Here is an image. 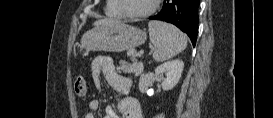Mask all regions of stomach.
Here are the masks:
<instances>
[{"label":"stomach","mask_w":273,"mask_h":118,"mask_svg":"<svg viewBox=\"0 0 273 118\" xmlns=\"http://www.w3.org/2000/svg\"><path fill=\"white\" fill-rule=\"evenodd\" d=\"M146 33L123 22L96 26L81 38V48L91 51L122 52L143 44Z\"/></svg>","instance_id":"0dacf381"}]
</instances>
